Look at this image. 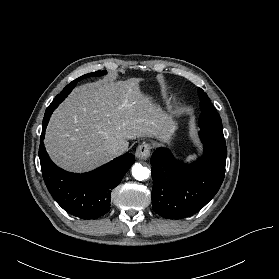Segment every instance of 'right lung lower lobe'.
<instances>
[{"mask_svg": "<svg viewBox=\"0 0 279 279\" xmlns=\"http://www.w3.org/2000/svg\"><path fill=\"white\" fill-rule=\"evenodd\" d=\"M67 95L57 96L46 109L39 147L41 170L50 194L65 211L80 219H97L110 210L111 192L133 165L135 156L126 153L84 174L66 172L57 167L50 160L43 139L52 112Z\"/></svg>", "mask_w": 279, "mask_h": 279, "instance_id": "98d812e1", "label": "right lung lower lobe"}]
</instances>
